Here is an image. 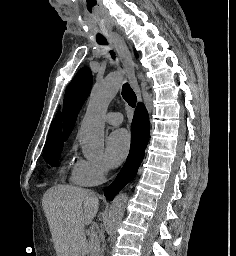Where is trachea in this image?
Returning a JSON list of instances; mask_svg holds the SVG:
<instances>
[{
    "mask_svg": "<svg viewBox=\"0 0 236 256\" xmlns=\"http://www.w3.org/2000/svg\"><path fill=\"white\" fill-rule=\"evenodd\" d=\"M97 42L100 45H107V41L105 38H100L97 39ZM112 55V58H115V54L113 51L110 52ZM122 97L124 98V100L128 103V105H130L132 108L135 107L136 105V94L134 93V91L132 90V88L130 87V85L128 83H125L122 87V91H121Z\"/></svg>",
    "mask_w": 236,
    "mask_h": 256,
    "instance_id": "obj_1",
    "label": "trachea"
}]
</instances>
